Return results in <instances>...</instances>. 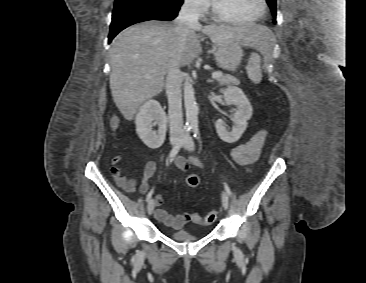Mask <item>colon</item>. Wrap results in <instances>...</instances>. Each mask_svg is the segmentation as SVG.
I'll use <instances>...</instances> for the list:
<instances>
[{"label": "colon", "instance_id": "obj_1", "mask_svg": "<svg viewBox=\"0 0 366 283\" xmlns=\"http://www.w3.org/2000/svg\"><path fill=\"white\" fill-rule=\"evenodd\" d=\"M111 124L113 127H116L117 120L115 118H112ZM186 183L190 188H196L200 185V177L196 174H191L187 177ZM186 217L195 224L211 225L216 220L217 213L215 211H210L203 216L197 213H193V214H186Z\"/></svg>", "mask_w": 366, "mask_h": 283}]
</instances>
